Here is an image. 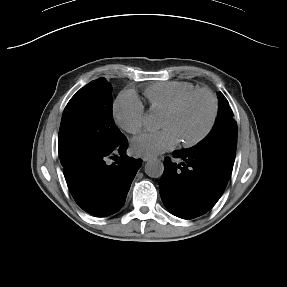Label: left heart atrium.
Wrapping results in <instances>:
<instances>
[{
    "label": "left heart atrium",
    "instance_id": "1",
    "mask_svg": "<svg viewBox=\"0 0 287 287\" xmlns=\"http://www.w3.org/2000/svg\"><path fill=\"white\" fill-rule=\"evenodd\" d=\"M179 139L171 128H164L155 133H146L136 137L132 142L134 152L143 156H156L174 148Z\"/></svg>",
    "mask_w": 287,
    "mask_h": 287
}]
</instances>
